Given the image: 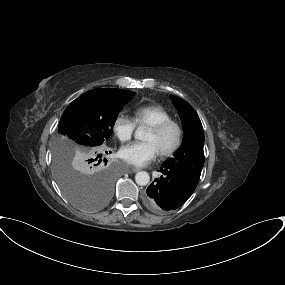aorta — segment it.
<instances>
[{
    "label": "aorta",
    "mask_w": 285,
    "mask_h": 285,
    "mask_svg": "<svg viewBox=\"0 0 285 285\" xmlns=\"http://www.w3.org/2000/svg\"><path fill=\"white\" fill-rule=\"evenodd\" d=\"M146 130L144 127H138L135 131V138L138 140H144ZM135 181L140 186H145L150 181V176L145 171H140L135 175Z\"/></svg>",
    "instance_id": "762f6f07"
}]
</instances>
